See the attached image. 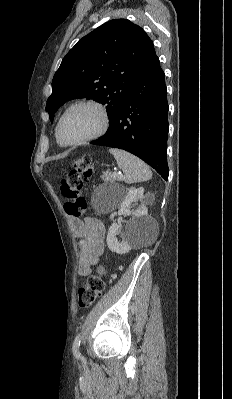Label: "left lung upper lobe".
<instances>
[{
    "label": "left lung upper lobe",
    "instance_id": "left-lung-upper-lobe-1",
    "mask_svg": "<svg viewBox=\"0 0 232 399\" xmlns=\"http://www.w3.org/2000/svg\"><path fill=\"white\" fill-rule=\"evenodd\" d=\"M151 43L127 19L106 22L80 39L53 77L46 104L50 120L65 102L87 98L106 105L111 126Z\"/></svg>",
    "mask_w": 232,
    "mask_h": 399
}]
</instances>
